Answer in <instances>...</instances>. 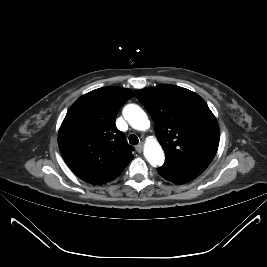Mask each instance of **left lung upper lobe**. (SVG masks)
Returning a JSON list of instances; mask_svg holds the SVG:
<instances>
[{"instance_id":"left-lung-upper-lobe-1","label":"left lung upper lobe","mask_w":267,"mask_h":267,"mask_svg":"<svg viewBox=\"0 0 267 267\" xmlns=\"http://www.w3.org/2000/svg\"><path fill=\"white\" fill-rule=\"evenodd\" d=\"M135 94L152 116L165 163L201 174L213 160L220 138L218 122L205 101L168 84Z\"/></svg>"}]
</instances>
